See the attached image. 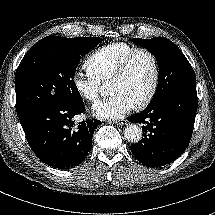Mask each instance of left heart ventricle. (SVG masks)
<instances>
[{
	"mask_svg": "<svg viewBox=\"0 0 215 215\" xmlns=\"http://www.w3.org/2000/svg\"><path fill=\"white\" fill-rule=\"evenodd\" d=\"M152 63L146 54H138L125 74L108 82L109 93H123L133 103L140 102L146 95L152 80Z\"/></svg>",
	"mask_w": 215,
	"mask_h": 215,
	"instance_id": "1",
	"label": "left heart ventricle"
}]
</instances>
